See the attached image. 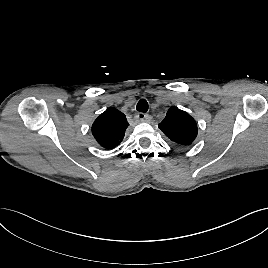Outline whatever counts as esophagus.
I'll return each instance as SVG.
<instances>
[{"instance_id": "34e87169", "label": "esophagus", "mask_w": 268, "mask_h": 268, "mask_svg": "<svg viewBox=\"0 0 268 268\" xmlns=\"http://www.w3.org/2000/svg\"><path fill=\"white\" fill-rule=\"evenodd\" d=\"M136 117L141 122L146 121L149 118L147 114L142 113V112L138 113Z\"/></svg>"}]
</instances>
